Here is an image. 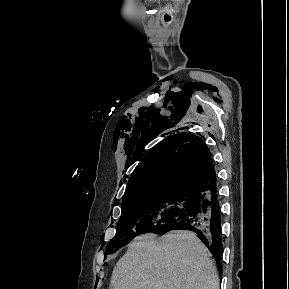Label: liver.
<instances>
[{
  "label": "liver",
  "mask_w": 289,
  "mask_h": 289,
  "mask_svg": "<svg viewBox=\"0 0 289 289\" xmlns=\"http://www.w3.org/2000/svg\"><path fill=\"white\" fill-rule=\"evenodd\" d=\"M111 289H219V277L205 245L187 230L170 232L158 243L138 236L115 265Z\"/></svg>",
  "instance_id": "1"
}]
</instances>
